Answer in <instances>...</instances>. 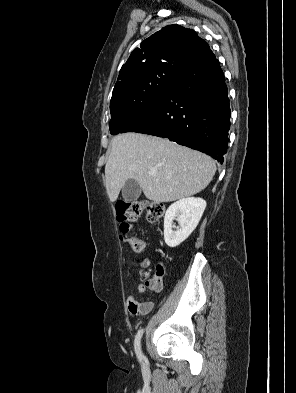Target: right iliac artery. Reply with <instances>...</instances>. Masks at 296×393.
<instances>
[{
  "instance_id": "1",
  "label": "right iliac artery",
  "mask_w": 296,
  "mask_h": 393,
  "mask_svg": "<svg viewBox=\"0 0 296 393\" xmlns=\"http://www.w3.org/2000/svg\"><path fill=\"white\" fill-rule=\"evenodd\" d=\"M142 334H143V329L138 331V333L135 336V341H134L135 353H136V355H137V357H138L140 362L143 359V354H142V351H141V344H140Z\"/></svg>"
}]
</instances>
